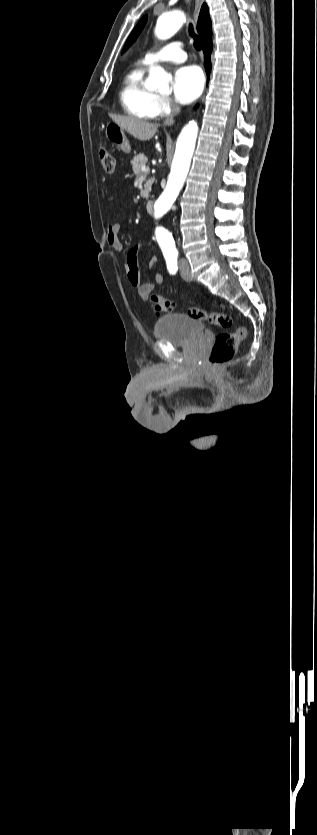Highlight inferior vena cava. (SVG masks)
I'll return each mask as SVG.
<instances>
[{
	"label": "inferior vena cava",
	"instance_id": "602c4592",
	"mask_svg": "<svg viewBox=\"0 0 317 835\" xmlns=\"http://www.w3.org/2000/svg\"><path fill=\"white\" fill-rule=\"evenodd\" d=\"M179 111H180V106L179 105H174L173 109H172V115L164 121V124L165 125L173 124L174 123L173 117H174L175 114L179 113Z\"/></svg>",
	"mask_w": 317,
	"mask_h": 835
}]
</instances>
